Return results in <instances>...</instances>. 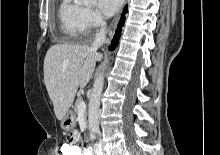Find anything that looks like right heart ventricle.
I'll return each mask as SVG.
<instances>
[{
	"instance_id": "obj_1",
	"label": "right heart ventricle",
	"mask_w": 220,
	"mask_h": 155,
	"mask_svg": "<svg viewBox=\"0 0 220 155\" xmlns=\"http://www.w3.org/2000/svg\"><path fill=\"white\" fill-rule=\"evenodd\" d=\"M84 8L74 0H61L58 8L60 28L70 40H78L84 34Z\"/></svg>"
}]
</instances>
